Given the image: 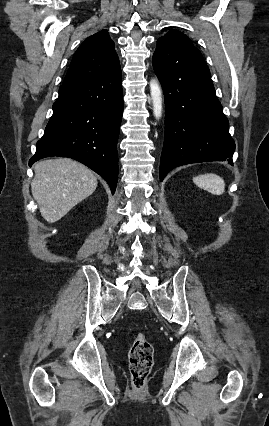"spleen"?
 <instances>
[{
    "instance_id": "3e777b00",
    "label": "spleen",
    "mask_w": 269,
    "mask_h": 426,
    "mask_svg": "<svg viewBox=\"0 0 269 426\" xmlns=\"http://www.w3.org/2000/svg\"><path fill=\"white\" fill-rule=\"evenodd\" d=\"M193 181L198 187L214 195H222L225 191V182L223 178L216 174L199 175L194 177Z\"/></svg>"
}]
</instances>
